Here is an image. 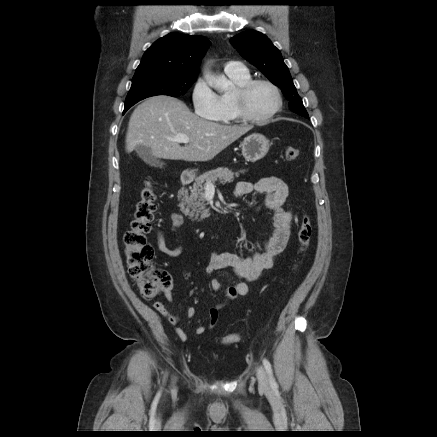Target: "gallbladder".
Listing matches in <instances>:
<instances>
[{
  "label": "gallbladder",
  "mask_w": 437,
  "mask_h": 437,
  "mask_svg": "<svg viewBox=\"0 0 437 437\" xmlns=\"http://www.w3.org/2000/svg\"><path fill=\"white\" fill-rule=\"evenodd\" d=\"M135 152L146 164L150 166L161 168L164 165L162 161H160L157 157H155L152 154L151 149L149 147L138 145L135 148Z\"/></svg>",
  "instance_id": "bac80fb5"
}]
</instances>
